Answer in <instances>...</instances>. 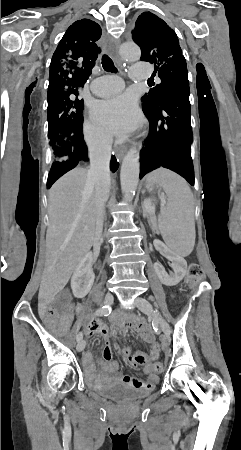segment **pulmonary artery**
<instances>
[{
  "label": "pulmonary artery",
  "mask_w": 241,
  "mask_h": 450,
  "mask_svg": "<svg viewBox=\"0 0 241 450\" xmlns=\"http://www.w3.org/2000/svg\"><path fill=\"white\" fill-rule=\"evenodd\" d=\"M130 75L132 78H141L147 80L149 84L156 82V77L150 71L149 64H133L131 66ZM124 85L122 78H117L115 74H100L98 78L92 80L90 90L96 92L98 97H109L114 92H119L120 87Z\"/></svg>",
  "instance_id": "obj_1"
}]
</instances>
